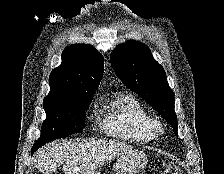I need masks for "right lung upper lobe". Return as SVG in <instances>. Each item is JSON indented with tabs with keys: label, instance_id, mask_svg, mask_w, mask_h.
Returning a JSON list of instances; mask_svg holds the SVG:
<instances>
[{
	"label": "right lung upper lobe",
	"instance_id": "1",
	"mask_svg": "<svg viewBox=\"0 0 224 174\" xmlns=\"http://www.w3.org/2000/svg\"><path fill=\"white\" fill-rule=\"evenodd\" d=\"M104 60L90 45L76 44L62 54V64L49 77L50 92L44 101H69L92 94L102 79Z\"/></svg>",
	"mask_w": 224,
	"mask_h": 174
}]
</instances>
